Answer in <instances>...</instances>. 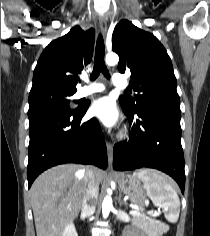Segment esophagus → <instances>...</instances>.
<instances>
[{"label":"esophagus","instance_id":"esophagus-1","mask_svg":"<svg viewBox=\"0 0 210 236\" xmlns=\"http://www.w3.org/2000/svg\"><path fill=\"white\" fill-rule=\"evenodd\" d=\"M99 25H100L101 32H102L103 36L105 37V35L107 33V20H106L105 16H100ZM106 148H107L109 168H111L112 162H113V145L107 141Z\"/></svg>","mask_w":210,"mask_h":236}]
</instances>
